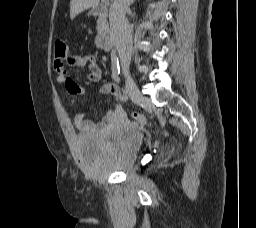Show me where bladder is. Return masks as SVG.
Wrapping results in <instances>:
<instances>
[{
  "mask_svg": "<svg viewBox=\"0 0 256 228\" xmlns=\"http://www.w3.org/2000/svg\"><path fill=\"white\" fill-rule=\"evenodd\" d=\"M142 142L138 127L128 125L102 136L83 133L76 138L75 149L81 160L89 164L88 172L98 179L112 173L131 172Z\"/></svg>",
  "mask_w": 256,
  "mask_h": 228,
  "instance_id": "31cf9c89",
  "label": "bladder"
}]
</instances>
